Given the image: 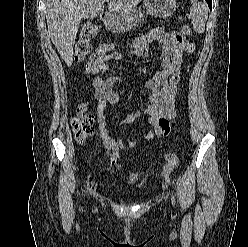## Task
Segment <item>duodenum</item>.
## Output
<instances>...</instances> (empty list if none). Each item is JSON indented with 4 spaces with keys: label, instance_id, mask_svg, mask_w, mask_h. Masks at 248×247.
I'll use <instances>...</instances> for the list:
<instances>
[{
    "label": "duodenum",
    "instance_id": "1",
    "mask_svg": "<svg viewBox=\"0 0 248 247\" xmlns=\"http://www.w3.org/2000/svg\"><path fill=\"white\" fill-rule=\"evenodd\" d=\"M110 15L109 14H107V13H103L102 14V19L104 20V21H110Z\"/></svg>",
    "mask_w": 248,
    "mask_h": 247
}]
</instances>
